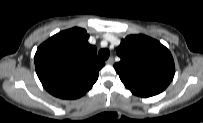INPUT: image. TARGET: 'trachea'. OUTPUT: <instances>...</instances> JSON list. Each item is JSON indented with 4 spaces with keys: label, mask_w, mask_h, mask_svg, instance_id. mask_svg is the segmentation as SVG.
I'll list each match as a JSON object with an SVG mask.
<instances>
[{
    "label": "trachea",
    "mask_w": 203,
    "mask_h": 123,
    "mask_svg": "<svg viewBox=\"0 0 203 123\" xmlns=\"http://www.w3.org/2000/svg\"><path fill=\"white\" fill-rule=\"evenodd\" d=\"M99 58L101 59V60H107L108 58H109V55H110V52H109V50L108 49H101L100 51H99Z\"/></svg>",
    "instance_id": "obj_1"
}]
</instances>
